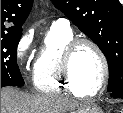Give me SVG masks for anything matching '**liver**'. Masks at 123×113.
Here are the masks:
<instances>
[{
	"label": "liver",
	"mask_w": 123,
	"mask_h": 113,
	"mask_svg": "<svg viewBox=\"0 0 123 113\" xmlns=\"http://www.w3.org/2000/svg\"><path fill=\"white\" fill-rule=\"evenodd\" d=\"M83 109L79 102L61 95L30 94L5 87L1 89V113H66Z\"/></svg>",
	"instance_id": "obj_1"
}]
</instances>
